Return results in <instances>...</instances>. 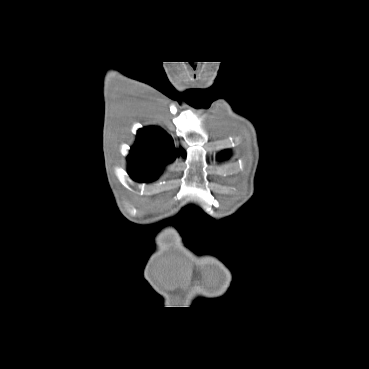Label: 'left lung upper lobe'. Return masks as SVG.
Segmentation results:
<instances>
[{
    "label": "left lung upper lobe",
    "instance_id": "obj_1",
    "mask_svg": "<svg viewBox=\"0 0 369 369\" xmlns=\"http://www.w3.org/2000/svg\"><path fill=\"white\" fill-rule=\"evenodd\" d=\"M230 154H229V151L226 150V151H223L221 154H220V158H226L228 157Z\"/></svg>",
    "mask_w": 369,
    "mask_h": 369
}]
</instances>
